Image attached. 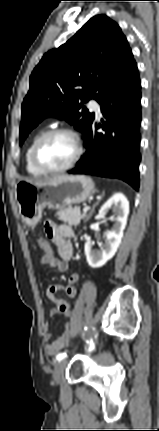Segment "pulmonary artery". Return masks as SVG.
I'll return each mask as SVG.
<instances>
[{"label": "pulmonary artery", "instance_id": "obj_1", "mask_svg": "<svg viewBox=\"0 0 159 431\" xmlns=\"http://www.w3.org/2000/svg\"><path fill=\"white\" fill-rule=\"evenodd\" d=\"M89 107L96 113L97 116H101L100 104L96 100H91L89 102Z\"/></svg>", "mask_w": 159, "mask_h": 431}]
</instances>
